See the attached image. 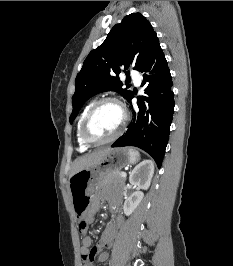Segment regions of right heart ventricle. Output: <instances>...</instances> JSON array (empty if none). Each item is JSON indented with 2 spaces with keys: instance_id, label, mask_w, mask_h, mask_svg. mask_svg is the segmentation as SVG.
<instances>
[{
  "instance_id": "e07e8e85",
  "label": "right heart ventricle",
  "mask_w": 233,
  "mask_h": 266,
  "mask_svg": "<svg viewBox=\"0 0 233 266\" xmlns=\"http://www.w3.org/2000/svg\"><path fill=\"white\" fill-rule=\"evenodd\" d=\"M95 102L92 101L90 102L82 111L80 117H79V120H78V123H77V131H76V136H77V142H78V145H79V149L81 151H85L88 149V145H86L82 139H81V136H80V128H81V124H82V121L86 115V113L88 112V110L90 109V107L94 104Z\"/></svg>"
}]
</instances>
